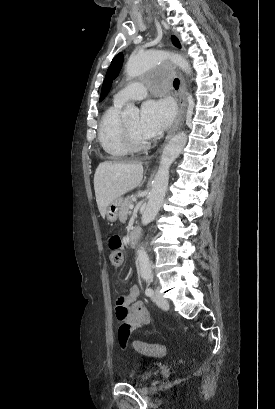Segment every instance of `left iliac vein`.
<instances>
[{
	"label": "left iliac vein",
	"instance_id": "1",
	"mask_svg": "<svg viewBox=\"0 0 275 409\" xmlns=\"http://www.w3.org/2000/svg\"><path fill=\"white\" fill-rule=\"evenodd\" d=\"M152 300L162 309H168L169 307L167 299L164 298L158 291H155L154 295L152 296Z\"/></svg>",
	"mask_w": 275,
	"mask_h": 409
}]
</instances>
